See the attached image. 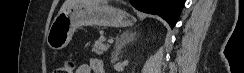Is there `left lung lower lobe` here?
Wrapping results in <instances>:
<instances>
[{
  "label": "left lung lower lobe",
  "mask_w": 244,
  "mask_h": 73,
  "mask_svg": "<svg viewBox=\"0 0 244 73\" xmlns=\"http://www.w3.org/2000/svg\"><path fill=\"white\" fill-rule=\"evenodd\" d=\"M139 11L165 19L173 28L178 21L185 0H129Z\"/></svg>",
  "instance_id": "1"
}]
</instances>
